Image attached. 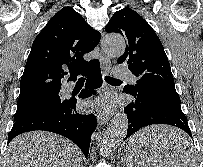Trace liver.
<instances>
[{"label":"liver","instance_id":"obj_1","mask_svg":"<svg viewBox=\"0 0 203 167\" xmlns=\"http://www.w3.org/2000/svg\"><path fill=\"white\" fill-rule=\"evenodd\" d=\"M187 135L168 126L146 128L131 137L127 147L143 141H156L162 160H181L188 149L180 145L186 143ZM190 145V143H187ZM79 149L71 141L59 135L34 131L14 138L4 155V167H80Z\"/></svg>","mask_w":203,"mask_h":167}]
</instances>
